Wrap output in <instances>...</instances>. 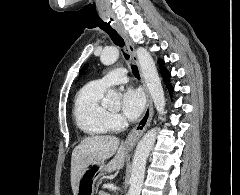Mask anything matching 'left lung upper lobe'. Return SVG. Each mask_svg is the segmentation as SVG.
<instances>
[{"mask_svg": "<svg viewBox=\"0 0 240 195\" xmlns=\"http://www.w3.org/2000/svg\"><path fill=\"white\" fill-rule=\"evenodd\" d=\"M87 66L85 65L83 68H82V70L81 71H83L85 68H86Z\"/></svg>", "mask_w": 240, "mask_h": 195, "instance_id": "5c2ea615", "label": "left lung upper lobe"}]
</instances>
